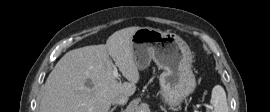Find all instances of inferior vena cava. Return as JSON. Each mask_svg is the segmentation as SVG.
Returning a JSON list of instances; mask_svg holds the SVG:
<instances>
[{
  "instance_id": "inferior-vena-cava-1",
  "label": "inferior vena cava",
  "mask_w": 270,
  "mask_h": 112,
  "mask_svg": "<svg viewBox=\"0 0 270 112\" xmlns=\"http://www.w3.org/2000/svg\"><path fill=\"white\" fill-rule=\"evenodd\" d=\"M127 101H128L127 96L120 95L112 99V104L124 105L125 103H127Z\"/></svg>"
}]
</instances>
